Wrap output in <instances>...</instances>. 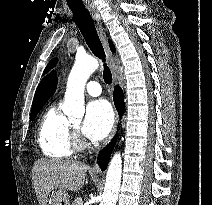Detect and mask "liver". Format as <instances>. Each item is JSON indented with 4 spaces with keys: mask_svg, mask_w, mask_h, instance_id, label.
<instances>
[{
    "mask_svg": "<svg viewBox=\"0 0 212 205\" xmlns=\"http://www.w3.org/2000/svg\"><path fill=\"white\" fill-rule=\"evenodd\" d=\"M89 167L70 160H38L32 169L34 189L39 205H46L54 189L77 192L84 184Z\"/></svg>",
    "mask_w": 212,
    "mask_h": 205,
    "instance_id": "obj_1",
    "label": "liver"
}]
</instances>
